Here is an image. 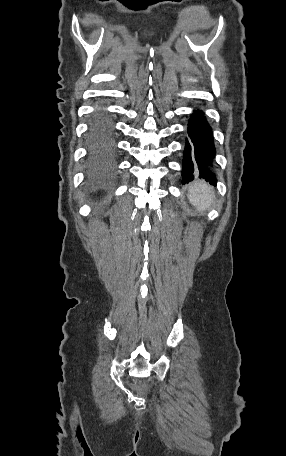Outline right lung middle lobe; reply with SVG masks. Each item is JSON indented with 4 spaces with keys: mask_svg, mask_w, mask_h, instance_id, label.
<instances>
[{
    "mask_svg": "<svg viewBox=\"0 0 286 456\" xmlns=\"http://www.w3.org/2000/svg\"><path fill=\"white\" fill-rule=\"evenodd\" d=\"M109 130V124L106 118L100 115H94L91 125V133L96 138H101Z\"/></svg>",
    "mask_w": 286,
    "mask_h": 456,
    "instance_id": "1",
    "label": "right lung middle lobe"
}]
</instances>
